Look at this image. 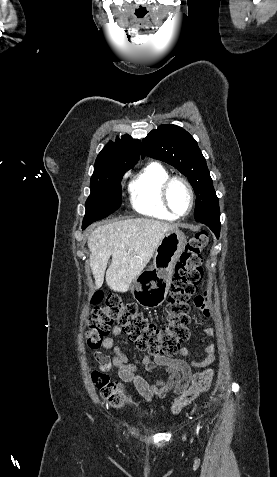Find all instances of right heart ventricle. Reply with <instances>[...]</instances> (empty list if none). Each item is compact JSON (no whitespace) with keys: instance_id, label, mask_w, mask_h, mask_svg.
I'll use <instances>...</instances> for the list:
<instances>
[{"instance_id":"1","label":"right heart ventricle","mask_w":277,"mask_h":477,"mask_svg":"<svg viewBox=\"0 0 277 477\" xmlns=\"http://www.w3.org/2000/svg\"><path fill=\"white\" fill-rule=\"evenodd\" d=\"M168 171L159 163H149L136 173L130 184V202L138 213L162 220H176L163 205L161 186L169 177Z\"/></svg>"}]
</instances>
